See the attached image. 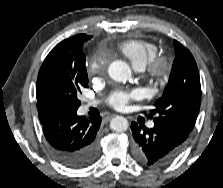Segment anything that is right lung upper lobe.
I'll return each instance as SVG.
<instances>
[{
    "label": "right lung upper lobe",
    "mask_w": 223,
    "mask_h": 188,
    "mask_svg": "<svg viewBox=\"0 0 223 188\" xmlns=\"http://www.w3.org/2000/svg\"><path fill=\"white\" fill-rule=\"evenodd\" d=\"M89 37L86 34H79L70 37L57 46L45 58L38 74L36 85L37 109L39 114L45 112H53L41 100V87L45 81L56 74H63L69 69V65L74 67L76 63V56L78 53V46L82 41H86Z\"/></svg>",
    "instance_id": "right-lung-upper-lobe-1"
}]
</instances>
